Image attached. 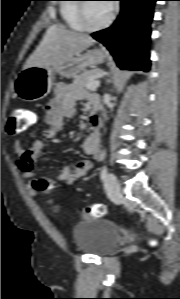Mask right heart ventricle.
Returning <instances> with one entry per match:
<instances>
[{"instance_id":"obj_1","label":"right heart ventricle","mask_w":180,"mask_h":299,"mask_svg":"<svg viewBox=\"0 0 180 299\" xmlns=\"http://www.w3.org/2000/svg\"><path fill=\"white\" fill-rule=\"evenodd\" d=\"M61 5V16L65 24L73 30L82 31V27L78 21V4L75 3L78 0H64Z\"/></svg>"}]
</instances>
